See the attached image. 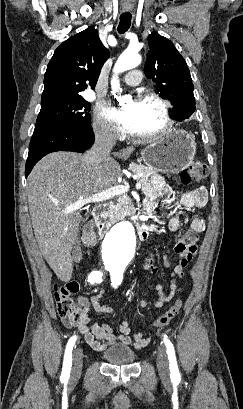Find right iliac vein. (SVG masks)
Returning a JSON list of instances; mask_svg holds the SVG:
<instances>
[{
  "instance_id": "obj_1",
  "label": "right iliac vein",
  "mask_w": 243,
  "mask_h": 409,
  "mask_svg": "<svg viewBox=\"0 0 243 409\" xmlns=\"http://www.w3.org/2000/svg\"><path fill=\"white\" fill-rule=\"evenodd\" d=\"M83 351L81 348H75L73 351V362L71 369V379H76L80 376L82 369Z\"/></svg>"
}]
</instances>
